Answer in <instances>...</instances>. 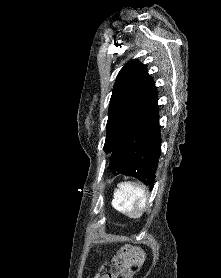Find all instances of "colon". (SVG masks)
Returning a JSON list of instances; mask_svg holds the SVG:
<instances>
[{
    "label": "colon",
    "instance_id": "5ec220e1",
    "mask_svg": "<svg viewBox=\"0 0 221 278\" xmlns=\"http://www.w3.org/2000/svg\"><path fill=\"white\" fill-rule=\"evenodd\" d=\"M141 266V260H138L134 263H132L130 265V267L128 268V272L127 273H124V272H120L118 274L119 278H127V276L130 274V273H134V272H137L139 270Z\"/></svg>",
    "mask_w": 221,
    "mask_h": 278
}]
</instances>
